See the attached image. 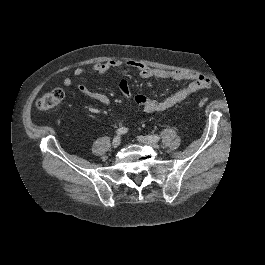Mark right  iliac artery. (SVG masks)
I'll return each instance as SVG.
<instances>
[{
    "mask_svg": "<svg viewBox=\"0 0 265 265\" xmlns=\"http://www.w3.org/2000/svg\"><path fill=\"white\" fill-rule=\"evenodd\" d=\"M128 132V128H126V127H121V128H119L117 131H116V134L117 135H122V134H125V133H127Z\"/></svg>",
    "mask_w": 265,
    "mask_h": 265,
    "instance_id": "1",
    "label": "right iliac artery"
}]
</instances>
